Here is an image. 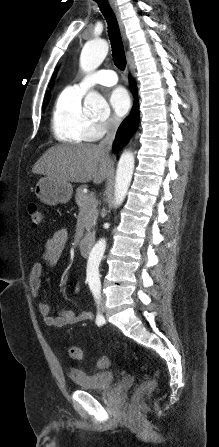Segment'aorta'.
Here are the masks:
<instances>
[{
  "instance_id": "1",
  "label": "aorta",
  "mask_w": 219,
  "mask_h": 447,
  "mask_svg": "<svg viewBox=\"0 0 219 447\" xmlns=\"http://www.w3.org/2000/svg\"><path fill=\"white\" fill-rule=\"evenodd\" d=\"M108 43L103 39L86 42L80 55V67L85 72L95 70L105 59L108 53ZM86 111L97 114L108 109L105 99L96 92L87 94L84 100ZM134 155L131 151H125L119 158L115 178V205L119 206L125 199L134 171ZM106 248V241L99 240L91 250L89 264L99 263ZM88 279L95 282L98 272L93 270L87 275Z\"/></svg>"
}]
</instances>
